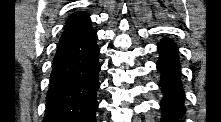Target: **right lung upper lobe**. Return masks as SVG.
I'll use <instances>...</instances> for the list:
<instances>
[{
  "mask_svg": "<svg viewBox=\"0 0 221 122\" xmlns=\"http://www.w3.org/2000/svg\"><path fill=\"white\" fill-rule=\"evenodd\" d=\"M89 20H90L89 15L85 12H79L71 15L68 18L66 28L63 34Z\"/></svg>",
  "mask_w": 221,
  "mask_h": 122,
  "instance_id": "right-lung-upper-lobe-1",
  "label": "right lung upper lobe"
}]
</instances>
